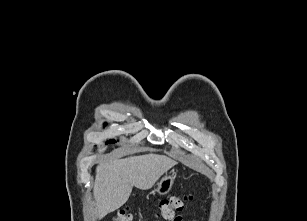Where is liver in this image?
<instances>
[{
  "label": "liver",
  "mask_w": 307,
  "mask_h": 221,
  "mask_svg": "<svg viewBox=\"0 0 307 221\" xmlns=\"http://www.w3.org/2000/svg\"><path fill=\"white\" fill-rule=\"evenodd\" d=\"M175 165L171 158L158 154L114 159L99 164L93 189L96 217L102 219L123 206L133 186L141 190L152 188Z\"/></svg>",
  "instance_id": "6515ba94"
}]
</instances>
